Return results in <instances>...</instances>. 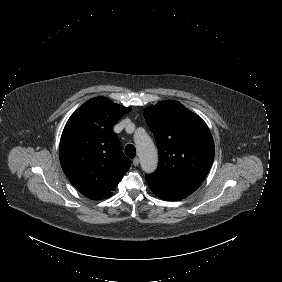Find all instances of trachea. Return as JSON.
<instances>
[{"label": "trachea", "instance_id": "obj_1", "mask_svg": "<svg viewBox=\"0 0 282 282\" xmlns=\"http://www.w3.org/2000/svg\"><path fill=\"white\" fill-rule=\"evenodd\" d=\"M125 154L128 158H134L136 155V148L132 144H128L125 147Z\"/></svg>", "mask_w": 282, "mask_h": 282}]
</instances>
